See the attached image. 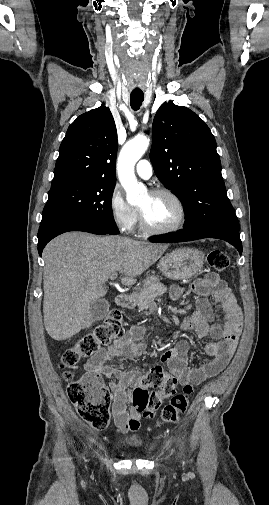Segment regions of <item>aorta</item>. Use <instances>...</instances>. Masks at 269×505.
I'll list each match as a JSON object with an SVG mask.
<instances>
[{"mask_svg": "<svg viewBox=\"0 0 269 505\" xmlns=\"http://www.w3.org/2000/svg\"><path fill=\"white\" fill-rule=\"evenodd\" d=\"M150 139L144 135H137L129 140L122 148L118 162L117 172L121 185L126 191V198L130 204H138L147 196V189L138 183L134 167L149 147Z\"/></svg>", "mask_w": 269, "mask_h": 505, "instance_id": "762f6f07", "label": "aorta"}]
</instances>
